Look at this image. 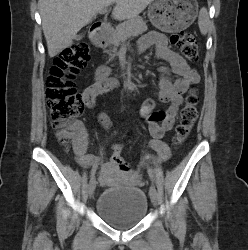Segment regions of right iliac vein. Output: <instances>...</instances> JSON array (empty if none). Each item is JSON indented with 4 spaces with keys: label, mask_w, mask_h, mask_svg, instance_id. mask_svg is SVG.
Wrapping results in <instances>:
<instances>
[{
    "label": "right iliac vein",
    "mask_w": 248,
    "mask_h": 250,
    "mask_svg": "<svg viewBox=\"0 0 248 250\" xmlns=\"http://www.w3.org/2000/svg\"><path fill=\"white\" fill-rule=\"evenodd\" d=\"M96 188V179L95 177L91 178L89 185H88V194L91 197L94 194Z\"/></svg>",
    "instance_id": "1"
}]
</instances>
